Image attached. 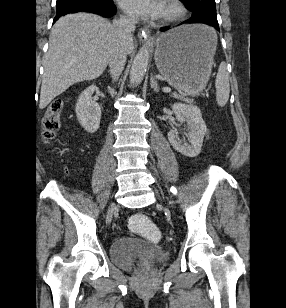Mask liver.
Returning a JSON list of instances; mask_svg holds the SVG:
<instances>
[{"instance_id": "obj_1", "label": "liver", "mask_w": 286, "mask_h": 308, "mask_svg": "<svg viewBox=\"0 0 286 308\" xmlns=\"http://www.w3.org/2000/svg\"><path fill=\"white\" fill-rule=\"evenodd\" d=\"M117 33L106 19L89 13L68 14L53 26L44 59L39 108L70 86L98 78L106 69ZM134 50L133 36L125 42Z\"/></svg>"}]
</instances>
